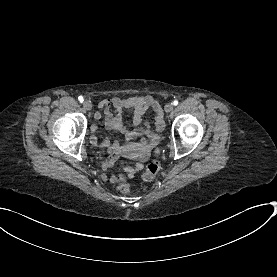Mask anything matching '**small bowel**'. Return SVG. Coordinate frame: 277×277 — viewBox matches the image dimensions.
<instances>
[{
	"label": "small bowel",
	"mask_w": 277,
	"mask_h": 277,
	"mask_svg": "<svg viewBox=\"0 0 277 277\" xmlns=\"http://www.w3.org/2000/svg\"><path fill=\"white\" fill-rule=\"evenodd\" d=\"M100 107L105 110V126L108 129L117 130L122 134H125L132 140L139 139V142H132L126 146V149H145L148 145L153 144L158 141L160 137V132L164 128V115L162 106L159 101L151 95L145 96H133L127 98H114L109 96L103 98L99 102ZM114 107V111L113 107ZM148 109L153 110L154 122L157 132H153L147 123L144 126L143 116ZM129 111L132 113V122L138 128L129 129L124 125L123 122V112ZM101 115L97 113L95 115L96 119H99ZM94 131V129H93ZM91 142L95 145H99L103 149L110 150L109 158L104 164L105 169H109L113 163L118 158L121 152V146L117 142H109L108 140H102L98 142L94 135L91 136ZM141 168L140 164L136 165H122L123 174H114L110 177V181L113 183L128 182L135 173H137Z\"/></svg>",
	"instance_id": "c3829d8e"
}]
</instances>
